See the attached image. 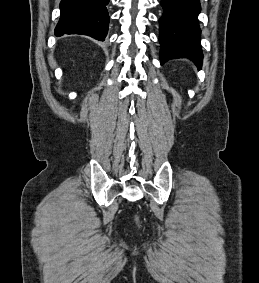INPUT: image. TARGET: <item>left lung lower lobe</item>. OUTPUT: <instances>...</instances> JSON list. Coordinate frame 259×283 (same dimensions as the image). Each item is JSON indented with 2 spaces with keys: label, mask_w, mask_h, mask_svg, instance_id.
I'll return each mask as SVG.
<instances>
[{
  "label": "left lung lower lobe",
  "mask_w": 259,
  "mask_h": 283,
  "mask_svg": "<svg viewBox=\"0 0 259 283\" xmlns=\"http://www.w3.org/2000/svg\"><path fill=\"white\" fill-rule=\"evenodd\" d=\"M161 5L164 10L159 20L161 65L171 59L188 58L201 69L199 0H161Z\"/></svg>",
  "instance_id": "left-lung-lower-lobe-1"
}]
</instances>
